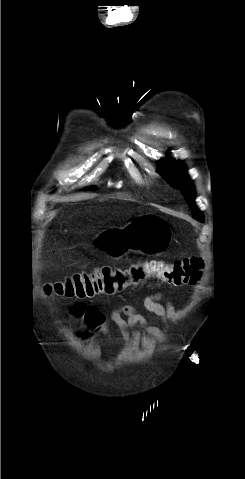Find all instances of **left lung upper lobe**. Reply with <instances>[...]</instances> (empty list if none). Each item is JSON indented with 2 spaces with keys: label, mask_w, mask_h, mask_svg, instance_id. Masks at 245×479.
<instances>
[{
  "label": "left lung upper lobe",
  "mask_w": 245,
  "mask_h": 479,
  "mask_svg": "<svg viewBox=\"0 0 245 479\" xmlns=\"http://www.w3.org/2000/svg\"><path fill=\"white\" fill-rule=\"evenodd\" d=\"M158 172L173 188L180 189L192 211L193 218L204 222L203 214L194 204V186L187 177L186 167L180 161L165 158L160 161Z\"/></svg>",
  "instance_id": "left-lung-upper-lobe-1"
}]
</instances>
